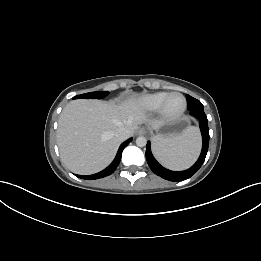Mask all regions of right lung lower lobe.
I'll use <instances>...</instances> for the list:
<instances>
[{
  "mask_svg": "<svg viewBox=\"0 0 261 261\" xmlns=\"http://www.w3.org/2000/svg\"><path fill=\"white\" fill-rule=\"evenodd\" d=\"M132 141V139H129L127 141H125L124 143H122L119 147V150L116 154V157L115 159L113 160V162L106 168L104 169L103 171L99 172V173H96V174H93V175H87V176H82V175H76L77 177L81 178V179H85V180H94V179H100V178H103V177H106L110 174H112L117 166L119 165L120 163V160H121V156H122V151L123 149Z\"/></svg>",
  "mask_w": 261,
  "mask_h": 261,
  "instance_id": "1",
  "label": "right lung lower lobe"
}]
</instances>
